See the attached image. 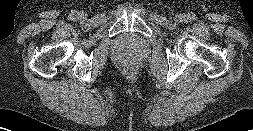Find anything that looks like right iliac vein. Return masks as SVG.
<instances>
[{"label": "right iliac vein", "instance_id": "obj_1", "mask_svg": "<svg viewBox=\"0 0 253 131\" xmlns=\"http://www.w3.org/2000/svg\"><path fill=\"white\" fill-rule=\"evenodd\" d=\"M78 16H79L80 19H84L85 14H84L83 12H80V13L78 14Z\"/></svg>", "mask_w": 253, "mask_h": 131}]
</instances>
